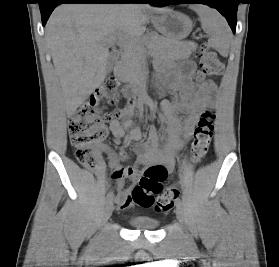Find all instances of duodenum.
<instances>
[{"mask_svg": "<svg viewBox=\"0 0 279 267\" xmlns=\"http://www.w3.org/2000/svg\"><path fill=\"white\" fill-rule=\"evenodd\" d=\"M113 72H114V76L117 80H122L123 74H124L122 62H117L115 64ZM136 92H137V89H135L133 87H127L123 90V95L126 98H132Z\"/></svg>", "mask_w": 279, "mask_h": 267, "instance_id": "1", "label": "duodenum"}]
</instances>
